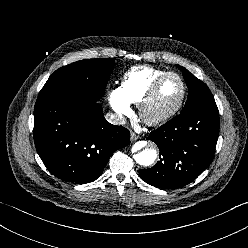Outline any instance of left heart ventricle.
I'll use <instances>...</instances> for the list:
<instances>
[{"mask_svg":"<svg viewBox=\"0 0 248 248\" xmlns=\"http://www.w3.org/2000/svg\"><path fill=\"white\" fill-rule=\"evenodd\" d=\"M181 89V83L177 77H167L159 87L153 103V110L163 111L175 105L180 98Z\"/></svg>","mask_w":248,"mask_h":248,"instance_id":"b2bd125f","label":"left heart ventricle"}]
</instances>
